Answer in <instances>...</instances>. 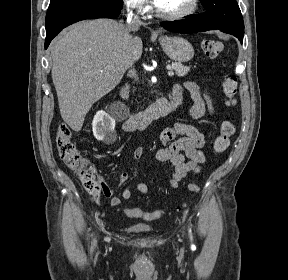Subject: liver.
Listing matches in <instances>:
<instances>
[{"mask_svg":"<svg viewBox=\"0 0 288 280\" xmlns=\"http://www.w3.org/2000/svg\"><path fill=\"white\" fill-rule=\"evenodd\" d=\"M112 19L72 25L51 47L52 80L63 120L80 131L92 105L113 90L140 57L142 40Z\"/></svg>","mask_w":288,"mask_h":280,"instance_id":"1","label":"liver"}]
</instances>
